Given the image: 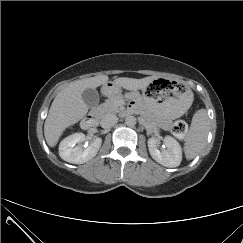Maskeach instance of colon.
<instances>
[{
	"instance_id": "1",
	"label": "colon",
	"mask_w": 243,
	"mask_h": 243,
	"mask_svg": "<svg viewBox=\"0 0 243 243\" xmlns=\"http://www.w3.org/2000/svg\"><path fill=\"white\" fill-rule=\"evenodd\" d=\"M187 129V124L183 120H176L171 127L172 133L177 137H184Z\"/></svg>"
}]
</instances>
